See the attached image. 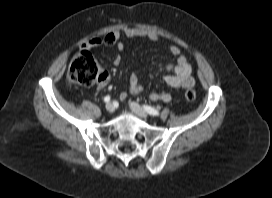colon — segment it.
<instances>
[{
    "label": "colon",
    "mask_w": 272,
    "mask_h": 198,
    "mask_svg": "<svg viewBox=\"0 0 272 198\" xmlns=\"http://www.w3.org/2000/svg\"><path fill=\"white\" fill-rule=\"evenodd\" d=\"M103 76V69L87 50L77 52L68 68L67 80L71 85L91 86ZM185 99L193 102L196 99L194 90L185 92Z\"/></svg>",
    "instance_id": "obj_1"
}]
</instances>
